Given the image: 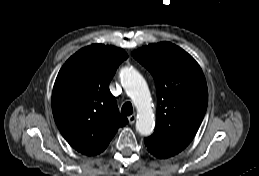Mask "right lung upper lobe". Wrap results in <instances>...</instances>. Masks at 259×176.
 <instances>
[{
  "label": "right lung upper lobe",
  "instance_id": "right-lung-upper-lobe-1",
  "mask_svg": "<svg viewBox=\"0 0 259 176\" xmlns=\"http://www.w3.org/2000/svg\"><path fill=\"white\" fill-rule=\"evenodd\" d=\"M127 57L120 48L92 44L71 56L58 73L53 116L66 141L84 155L103 152L128 122L109 90L116 69Z\"/></svg>",
  "mask_w": 259,
  "mask_h": 176
}]
</instances>
